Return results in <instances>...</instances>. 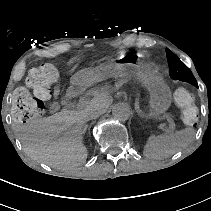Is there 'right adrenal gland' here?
<instances>
[{"label":"right adrenal gland","instance_id":"1","mask_svg":"<svg viewBox=\"0 0 211 211\" xmlns=\"http://www.w3.org/2000/svg\"><path fill=\"white\" fill-rule=\"evenodd\" d=\"M92 124H93V122L91 124H89V129L91 128Z\"/></svg>","mask_w":211,"mask_h":211}]
</instances>
